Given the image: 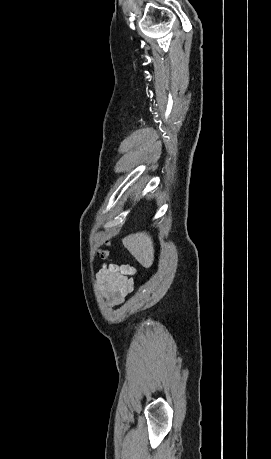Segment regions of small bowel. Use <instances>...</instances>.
Here are the masks:
<instances>
[{"label":"small bowel","mask_w":271,"mask_h":459,"mask_svg":"<svg viewBox=\"0 0 271 459\" xmlns=\"http://www.w3.org/2000/svg\"><path fill=\"white\" fill-rule=\"evenodd\" d=\"M134 271L129 266H103L97 273V286L110 307L123 303L133 290Z\"/></svg>","instance_id":"small-bowel-1"}]
</instances>
